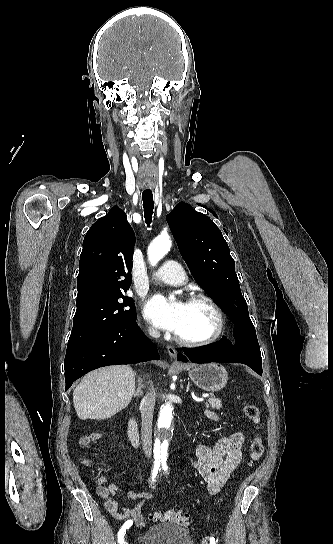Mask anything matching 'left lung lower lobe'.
Returning a JSON list of instances; mask_svg holds the SVG:
<instances>
[{
    "instance_id": "left-lung-lower-lobe-1",
    "label": "left lung lower lobe",
    "mask_w": 333,
    "mask_h": 544,
    "mask_svg": "<svg viewBox=\"0 0 333 544\" xmlns=\"http://www.w3.org/2000/svg\"><path fill=\"white\" fill-rule=\"evenodd\" d=\"M235 337V336H234ZM235 340L237 338L235 337ZM178 360L194 363H204L216 359L219 362L243 363L251 367L259 375H262V359L259 345L253 348L247 345H239L238 340L235 346L224 337L217 343L201 348H184V354H178Z\"/></svg>"
}]
</instances>
